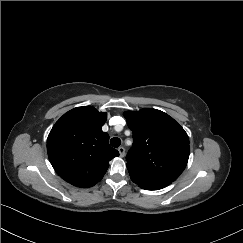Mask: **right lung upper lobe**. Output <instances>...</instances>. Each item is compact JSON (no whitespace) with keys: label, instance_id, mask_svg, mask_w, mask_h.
Segmentation results:
<instances>
[{"label":"right lung upper lobe","instance_id":"1","mask_svg":"<svg viewBox=\"0 0 243 243\" xmlns=\"http://www.w3.org/2000/svg\"><path fill=\"white\" fill-rule=\"evenodd\" d=\"M105 112L82 106L65 113L53 126L47 139L49 160L57 174L82 188L94 186L104 176L109 161L119 152L102 131Z\"/></svg>","mask_w":243,"mask_h":243}]
</instances>
